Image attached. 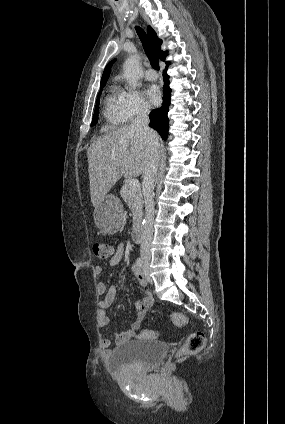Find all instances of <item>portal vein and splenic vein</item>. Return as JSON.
<instances>
[{"instance_id": "18ae733b", "label": "portal vein and splenic vein", "mask_w": 285, "mask_h": 424, "mask_svg": "<svg viewBox=\"0 0 285 424\" xmlns=\"http://www.w3.org/2000/svg\"><path fill=\"white\" fill-rule=\"evenodd\" d=\"M128 186L131 191H137L138 189H140V183L137 179L129 180Z\"/></svg>"}]
</instances>
